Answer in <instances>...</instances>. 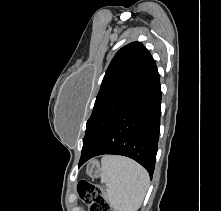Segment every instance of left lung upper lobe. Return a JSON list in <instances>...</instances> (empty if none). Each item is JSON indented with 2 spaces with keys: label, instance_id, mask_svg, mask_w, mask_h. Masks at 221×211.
<instances>
[{
  "label": "left lung upper lobe",
  "instance_id": "left-lung-upper-lobe-1",
  "mask_svg": "<svg viewBox=\"0 0 221 211\" xmlns=\"http://www.w3.org/2000/svg\"><path fill=\"white\" fill-rule=\"evenodd\" d=\"M155 65L150 52L140 42L130 43L116 53L87 121L81 157L89 152L117 115L138 94Z\"/></svg>",
  "mask_w": 221,
  "mask_h": 211
}]
</instances>
